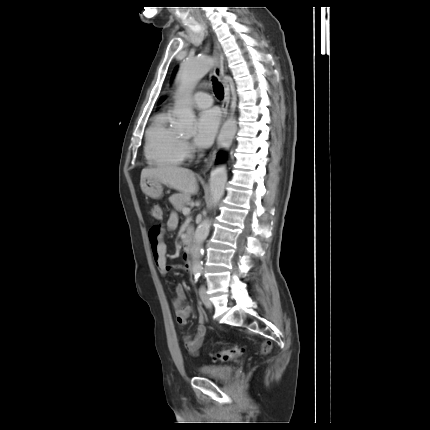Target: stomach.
<instances>
[{
	"mask_svg": "<svg viewBox=\"0 0 430 430\" xmlns=\"http://www.w3.org/2000/svg\"><path fill=\"white\" fill-rule=\"evenodd\" d=\"M162 185L163 183L155 178H146L140 183L142 192L153 199H158L162 196Z\"/></svg>",
	"mask_w": 430,
	"mask_h": 430,
	"instance_id": "1",
	"label": "stomach"
}]
</instances>
